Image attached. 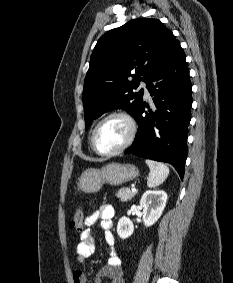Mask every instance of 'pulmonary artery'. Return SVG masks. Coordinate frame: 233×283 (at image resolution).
<instances>
[{
    "label": "pulmonary artery",
    "instance_id": "obj_1",
    "mask_svg": "<svg viewBox=\"0 0 233 283\" xmlns=\"http://www.w3.org/2000/svg\"><path fill=\"white\" fill-rule=\"evenodd\" d=\"M140 88H142L144 90L145 97H149V91L147 89V85H146L145 82H141L140 83Z\"/></svg>",
    "mask_w": 233,
    "mask_h": 283
}]
</instances>
